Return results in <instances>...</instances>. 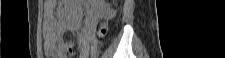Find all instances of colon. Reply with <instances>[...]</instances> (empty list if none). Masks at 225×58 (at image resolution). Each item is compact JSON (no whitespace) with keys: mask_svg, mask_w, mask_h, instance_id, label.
<instances>
[{"mask_svg":"<svg viewBox=\"0 0 225 58\" xmlns=\"http://www.w3.org/2000/svg\"><path fill=\"white\" fill-rule=\"evenodd\" d=\"M104 31H105V30H104V26H102V28H101V34H103ZM75 49H76V43H75L74 41L68 43V44L64 47V50H63V56H64V57H67V56L72 55V54L75 52Z\"/></svg>","mask_w":225,"mask_h":58,"instance_id":"colon-1","label":"colon"}]
</instances>
